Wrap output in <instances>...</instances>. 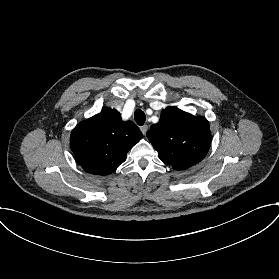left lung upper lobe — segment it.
Segmentation results:
<instances>
[{"instance_id": "5c2ea615", "label": "left lung upper lobe", "mask_w": 279, "mask_h": 279, "mask_svg": "<svg viewBox=\"0 0 279 279\" xmlns=\"http://www.w3.org/2000/svg\"><path fill=\"white\" fill-rule=\"evenodd\" d=\"M147 137L162 162L173 169H187L206 156L211 143L209 123L176 107H167Z\"/></svg>"}]
</instances>
